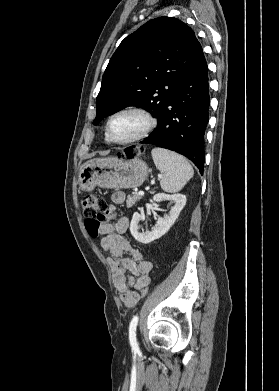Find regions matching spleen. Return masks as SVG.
I'll return each mask as SVG.
<instances>
[{
	"instance_id": "1",
	"label": "spleen",
	"mask_w": 279,
	"mask_h": 391,
	"mask_svg": "<svg viewBox=\"0 0 279 391\" xmlns=\"http://www.w3.org/2000/svg\"><path fill=\"white\" fill-rule=\"evenodd\" d=\"M151 154L156 168L162 173L160 186L165 192L180 191L193 177L194 170L183 156L160 147L153 148Z\"/></svg>"
}]
</instances>
